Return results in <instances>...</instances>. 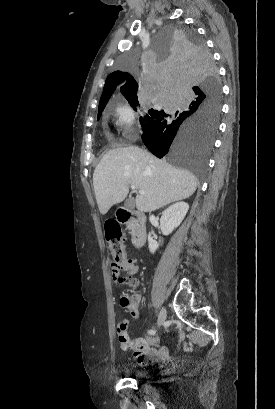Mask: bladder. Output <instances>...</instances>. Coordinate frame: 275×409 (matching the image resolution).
Wrapping results in <instances>:
<instances>
[{"label": "bladder", "instance_id": "1", "mask_svg": "<svg viewBox=\"0 0 275 409\" xmlns=\"http://www.w3.org/2000/svg\"><path fill=\"white\" fill-rule=\"evenodd\" d=\"M138 374H143V371H141L140 368L136 367L132 369V375L137 376ZM137 379H140V376H137Z\"/></svg>", "mask_w": 275, "mask_h": 409}]
</instances>
